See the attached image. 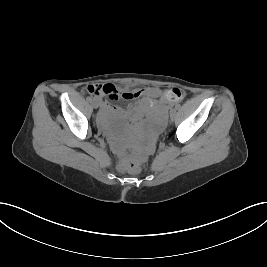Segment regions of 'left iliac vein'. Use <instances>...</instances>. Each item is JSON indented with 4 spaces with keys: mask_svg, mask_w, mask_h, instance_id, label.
Returning <instances> with one entry per match:
<instances>
[{
    "mask_svg": "<svg viewBox=\"0 0 267 267\" xmlns=\"http://www.w3.org/2000/svg\"><path fill=\"white\" fill-rule=\"evenodd\" d=\"M175 114H176V110L175 109H172L170 111V118H171V120L174 118Z\"/></svg>",
    "mask_w": 267,
    "mask_h": 267,
    "instance_id": "1",
    "label": "left iliac vein"
}]
</instances>
